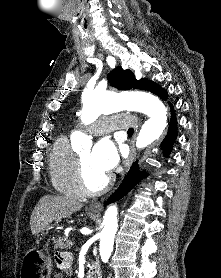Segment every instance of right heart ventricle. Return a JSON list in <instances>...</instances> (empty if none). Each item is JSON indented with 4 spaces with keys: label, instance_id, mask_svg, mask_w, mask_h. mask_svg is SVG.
I'll return each instance as SVG.
<instances>
[{
    "label": "right heart ventricle",
    "instance_id": "right-heart-ventricle-1",
    "mask_svg": "<svg viewBox=\"0 0 221 278\" xmlns=\"http://www.w3.org/2000/svg\"><path fill=\"white\" fill-rule=\"evenodd\" d=\"M76 153L65 136L59 137L53 144L48 157L50 180L57 192L73 198L80 199V191L75 176Z\"/></svg>",
    "mask_w": 221,
    "mask_h": 278
}]
</instances>
